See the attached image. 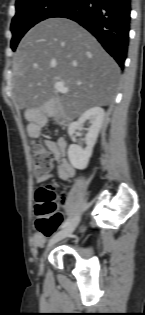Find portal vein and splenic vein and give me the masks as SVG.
I'll return each mask as SVG.
<instances>
[{"instance_id": "obj_1", "label": "portal vein and splenic vein", "mask_w": 145, "mask_h": 315, "mask_svg": "<svg viewBox=\"0 0 145 315\" xmlns=\"http://www.w3.org/2000/svg\"><path fill=\"white\" fill-rule=\"evenodd\" d=\"M54 86H55L56 91L59 92V93L64 94V93H67V92H68V88L65 87L63 81H57V82H55Z\"/></svg>"}]
</instances>
